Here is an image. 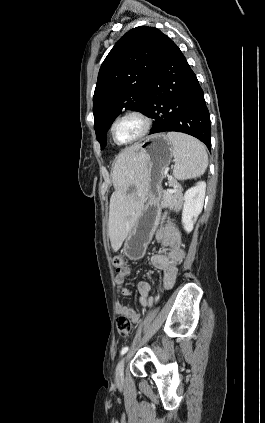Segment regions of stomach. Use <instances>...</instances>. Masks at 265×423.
<instances>
[{
  "mask_svg": "<svg viewBox=\"0 0 265 423\" xmlns=\"http://www.w3.org/2000/svg\"><path fill=\"white\" fill-rule=\"evenodd\" d=\"M139 145V152L146 157L148 193L146 203L129 232L123 248L125 255L132 260L143 258L159 224L162 211V180L164 171L173 157L172 143L163 133L149 136Z\"/></svg>",
  "mask_w": 265,
  "mask_h": 423,
  "instance_id": "obj_1",
  "label": "stomach"
}]
</instances>
